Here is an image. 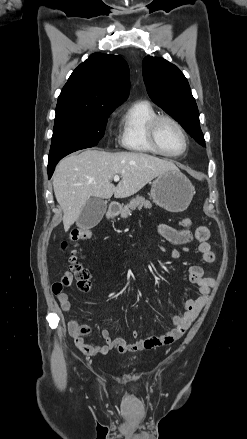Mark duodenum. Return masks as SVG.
<instances>
[{"label": "duodenum", "mask_w": 247, "mask_h": 439, "mask_svg": "<svg viewBox=\"0 0 247 439\" xmlns=\"http://www.w3.org/2000/svg\"><path fill=\"white\" fill-rule=\"evenodd\" d=\"M118 212H119V206L115 203H112L108 207L106 216L107 218H113L117 215Z\"/></svg>", "instance_id": "duodenum-1"}]
</instances>
